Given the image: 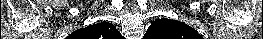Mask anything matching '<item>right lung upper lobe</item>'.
Segmentation results:
<instances>
[{
  "label": "right lung upper lobe",
  "mask_w": 263,
  "mask_h": 39,
  "mask_svg": "<svg viewBox=\"0 0 263 39\" xmlns=\"http://www.w3.org/2000/svg\"><path fill=\"white\" fill-rule=\"evenodd\" d=\"M78 31V35L84 39H120L122 37L115 26L106 22L90 25Z\"/></svg>",
  "instance_id": "1"
}]
</instances>
